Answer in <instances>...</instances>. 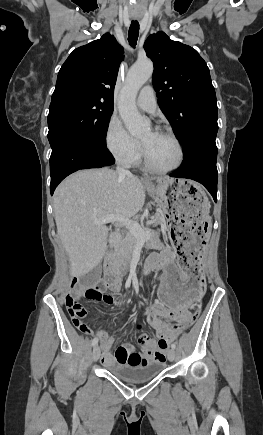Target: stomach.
<instances>
[{
    "mask_svg": "<svg viewBox=\"0 0 263 435\" xmlns=\"http://www.w3.org/2000/svg\"><path fill=\"white\" fill-rule=\"evenodd\" d=\"M152 198L162 209L170 233L175 258H164L155 271V297L159 305L186 310L203 299L207 269L202 254L209 247L213 217L208 216L209 200L199 184L188 179H168L157 186L146 183Z\"/></svg>",
    "mask_w": 263,
    "mask_h": 435,
    "instance_id": "obj_1",
    "label": "stomach"
}]
</instances>
